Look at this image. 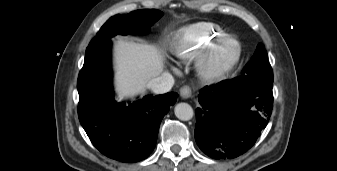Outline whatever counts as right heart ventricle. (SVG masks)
<instances>
[{
	"label": "right heart ventricle",
	"instance_id": "obj_1",
	"mask_svg": "<svg viewBox=\"0 0 337 171\" xmlns=\"http://www.w3.org/2000/svg\"><path fill=\"white\" fill-rule=\"evenodd\" d=\"M228 32L212 22H197L184 27L173 43V51L178 59L190 62L214 41L225 37Z\"/></svg>",
	"mask_w": 337,
	"mask_h": 171
}]
</instances>
